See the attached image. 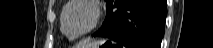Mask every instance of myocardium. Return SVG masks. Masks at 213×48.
Instances as JSON below:
<instances>
[{"label": "myocardium", "instance_id": "f54148a6", "mask_svg": "<svg viewBox=\"0 0 213 48\" xmlns=\"http://www.w3.org/2000/svg\"><path fill=\"white\" fill-rule=\"evenodd\" d=\"M75 4H86V5L90 6L94 11V19H93V22L90 25V27L88 29H86L85 31L76 33V34L68 32L65 28L66 13H67L68 9ZM100 19H101V9H100L97 1H94V0L69 1L67 3V5L63 8L62 13H61V29H62V32L69 38H72V39L80 38V37L90 33L91 31H93L97 27Z\"/></svg>", "mask_w": 213, "mask_h": 48}]
</instances>
